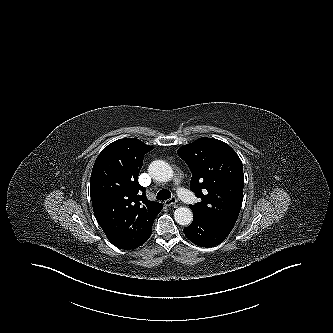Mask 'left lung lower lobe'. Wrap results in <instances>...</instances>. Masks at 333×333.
Returning a JSON list of instances; mask_svg holds the SVG:
<instances>
[{"label":"left lung lower lobe","instance_id":"1","mask_svg":"<svg viewBox=\"0 0 333 333\" xmlns=\"http://www.w3.org/2000/svg\"><path fill=\"white\" fill-rule=\"evenodd\" d=\"M193 222L184 228V234L194 244L201 247H213L220 244L232 228L194 212Z\"/></svg>","mask_w":333,"mask_h":333}]
</instances>
